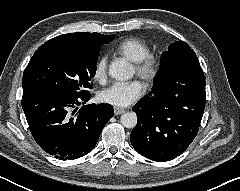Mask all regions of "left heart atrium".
<instances>
[{
	"instance_id": "obj_1",
	"label": "left heart atrium",
	"mask_w": 240,
	"mask_h": 191,
	"mask_svg": "<svg viewBox=\"0 0 240 191\" xmlns=\"http://www.w3.org/2000/svg\"><path fill=\"white\" fill-rule=\"evenodd\" d=\"M143 93L144 87L137 80L116 82L101 92L100 99L115 107H127L140 99Z\"/></svg>"
}]
</instances>
